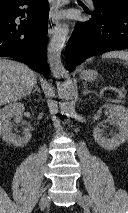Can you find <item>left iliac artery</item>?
<instances>
[{"mask_svg": "<svg viewBox=\"0 0 128 213\" xmlns=\"http://www.w3.org/2000/svg\"><path fill=\"white\" fill-rule=\"evenodd\" d=\"M84 198H85L86 203L92 207L94 213H98V212H97V209H96V207L94 206L93 201L90 199V197L87 196V195H85Z\"/></svg>", "mask_w": 128, "mask_h": 213, "instance_id": "44dca946", "label": "left iliac artery"}]
</instances>
